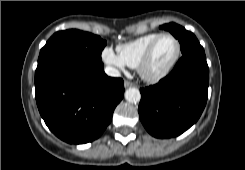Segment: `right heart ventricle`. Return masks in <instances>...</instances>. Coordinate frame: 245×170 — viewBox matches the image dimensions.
I'll use <instances>...</instances> for the list:
<instances>
[{
    "mask_svg": "<svg viewBox=\"0 0 245 170\" xmlns=\"http://www.w3.org/2000/svg\"><path fill=\"white\" fill-rule=\"evenodd\" d=\"M158 35V33L146 34L132 41L118 45L116 48L118 56L125 65L136 68L145 49Z\"/></svg>",
    "mask_w": 245,
    "mask_h": 170,
    "instance_id": "obj_1",
    "label": "right heart ventricle"
}]
</instances>
